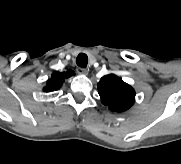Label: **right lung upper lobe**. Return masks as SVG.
Wrapping results in <instances>:
<instances>
[{
    "instance_id": "cb5924a9",
    "label": "right lung upper lobe",
    "mask_w": 181,
    "mask_h": 164,
    "mask_svg": "<svg viewBox=\"0 0 181 164\" xmlns=\"http://www.w3.org/2000/svg\"><path fill=\"white\" fill-rule=\"evenodd\" d=\"M75 75L74 71L69 69L67 72L60 73L58 71H55L52 73L51 78L47 81L46 87H44V92H51L58 90L65 79Z\"/></svg>"
}]
</instances>
